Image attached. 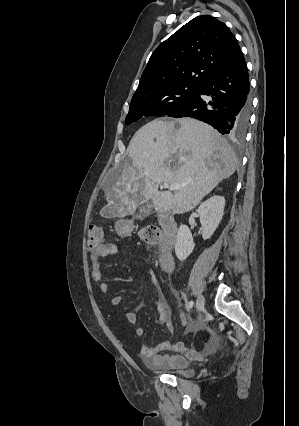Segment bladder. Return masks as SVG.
Returning <instances> with one entry per match:
<instances>
[{
    "label": "bladder",
    "instance_id": "bladder-1",
    "mask_svg": "<svg viewBox=\"0 0 299 426\" xmlns=\"http://www.w3.org/2000/svg\"><path fill=\"white\" fill-rule=\"evenodd\" d=\"M170 374L180 377H192L194 375L193 370L190 369H174L168 371Z\"/></svg>",
    "mask_w": 299,
    "mask_h": 426
}]
</instances>
